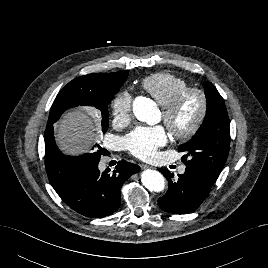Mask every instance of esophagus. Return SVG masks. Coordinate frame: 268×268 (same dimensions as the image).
I'll use <instances>...</instances> for the list:
<instances>
[{
  "label": "esophagus",
  "instance_id": "obj_1",
  "mask_svg": "<svg viewBox=\"0 0 268 268\" xmlns=\"http://www.w3.org/2000/svg\"><path fill=\"white\" fill-rule=\"evenodd\" d=\"M140 167H141L142 169H147V168H149V166L146 165V164H144V163L140 164Z\"/></svg>",
  "mask_w": 268,
  "mask_h": 268
}]
</instances>
